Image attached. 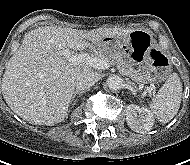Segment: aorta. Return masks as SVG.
Listing matches in <instances>:
<instances>
[{"mask_svg":"<svg viewBox=\"0 0 190 165\" xmlns=\"http://www.w3.org/2000/svg\"><path fill=\"white\" fill-rule=\"evenodd\" d=\"M107 85L112 90H119L124 85V80L118 75H112L107 79Z\"/></svg>","mask_w":190,"mask_h":165,"instance_id":"aorta-1","label":"aorta"}]
</instances>
